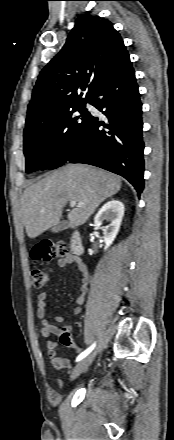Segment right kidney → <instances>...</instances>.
Listing matches in <instances>:
<instances>
[{
    "label": "right kidney",
    "instance_id": "1",
    "mask_svg": "<svg viewBox=\"0 0 174 440\" xmlns=\"http://www.w3.org/2000/svg\"><path fill=\"white\" fill-rule=\"evenodd\" d=\"M124 211L123 203L113 199L104 204L94 218V224L97 227H101L103 220L110 222L108 226L101 227L104 234L105 250L113 243L119 232Z\"/></svg>",
    "mask_w": 174,
    "mask_h": 440
}]
</instances>
